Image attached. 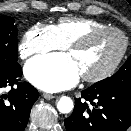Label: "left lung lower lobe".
Segmentation results:
<instances>
[{"mask_svg":"<svg viewBox=\"0 0 131 131\" xmlns=\"http://www.w3.org/2000/svg\"><path fill=\"white\" fill-rule=\"evenodd\" d=\"M67 131H126L131 126V92L92 86L75 99Z\"/></svg>","mask_w":131,"mask_h":131,"instance_id":"0a47b994","label":"left lung lower lobe"}]
</instances>
